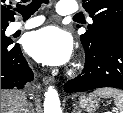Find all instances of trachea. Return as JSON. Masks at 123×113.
Segmentation results:
<instances>
[{"instance_id":"obj_1","label":"trachea","mask_w":123,"mask_h":113,"mask_svg":"<svg viewBox=\"0 0 123 113\" xmlns=\"http://www.w3.org/2000/svg\"><path fill=\"white\" fill-rule=\"evenodd\" d=\"M48 0H32V2L28 5H19L15 8V11L19 12L23 18L27 19L31 15H33L42 4H48Z\"/></svg>"}]
</instances>
